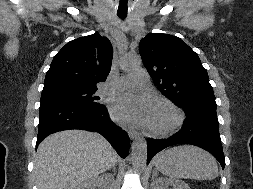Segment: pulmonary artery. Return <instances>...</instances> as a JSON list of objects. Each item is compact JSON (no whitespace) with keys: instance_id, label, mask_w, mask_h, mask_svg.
Listing matches in <instances>:
<instances>
[{"instance_id":"pulmonary-artery-1","label":"pulmonary artery","mask_w":253,"mask_h":189,"mask_svg":"<svg viewBox=\"0 0 253 189\" xmlns=\"http://www.w3.org/2000/svg\"><path fill=\"white\" fill-rule=\"evenodd\" d=\"M138 84L140 86H145L148 83L147 75L143 72H135L130 75L122 77L115 86L119 89L125 88L130 84ZM110 89V85H106L101 92L106 93Z\"/></svg>"}]
</instances>
